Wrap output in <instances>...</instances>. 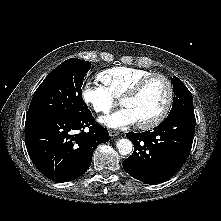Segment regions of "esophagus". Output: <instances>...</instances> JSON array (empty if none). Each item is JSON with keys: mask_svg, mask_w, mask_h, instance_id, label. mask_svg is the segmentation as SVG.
Instances as JSON below:
<instances>
[{"mask_svg": "<svg viewBox=\"0 0 221 221\" xmlns=\"http://www.w3.org/2000/svg\"><path fill=\"white\" fill-rule=\"evenodd\" d=\"M118 134H119L118 131H115V130H109V135H110L111 137H115V136H117Z\"/></svg>", "mask_w": 221, "mask_h": 221, "instance_id": "34e87169", "label": "esophagus"}]
</instances>
